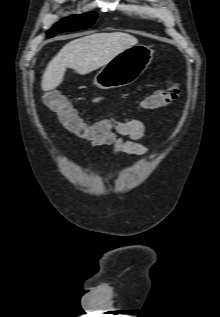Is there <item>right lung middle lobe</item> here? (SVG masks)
<instances>
[{"label":"right lung middle lobe","instance_id":"dd1d6c3e","mask_svg":"<svg viewBox=\"0 0 220 317\" xmlns=\"http://www.w3.org/2000/svg\"><path fill=\"white\" fill-rule=\"evenodd\" d=\"M97 18L95 12L74 15L65 18L55 24L48 32L47 37H53L55 34L66 31H78L90 27Z\"/></svg>","mask_w":220,"mask_h":317}]
</instances>
